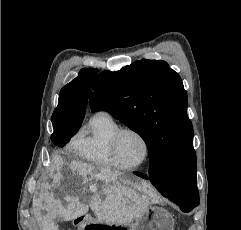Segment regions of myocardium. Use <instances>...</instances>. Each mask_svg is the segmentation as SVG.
Listing matches in <instances>:
<instances>
[{
	"mask_svg": "<svg viewBox=\"0 0 241 230\" xmlns=\"http://www.w3.org/2000/svg\"><path fill=\"white\" fill-rule=\"evenodd\" d=\"M127 132L133 133L136 136H138L141 139V141L143 142L144 147H145V154H144L143 159L139 163L133 164V165H128V164H124V163L120 162L118 159V155H117V148H118L119 140H120L121 136ZM150 151H151L150 144H149L147 138L139 130H137L133 127H129V126L119 127L112 134L110 141H109L110 156H111L113 162L115 163V165L121 169L132 170V169L140 168L148 160V158L150 156Z\"/></svg>",
	"mask_w": 241,
	"mask_h": 230,
	"instance_id": "f54148a6",
	"label": "myocardium"
}]
</instances>
